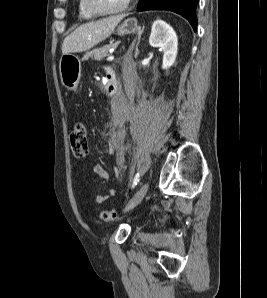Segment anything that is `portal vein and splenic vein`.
<instances>
[{
	"label": "portal vein and splenic vein",
	"mask_w": 267,
	"mask_h": 298,
	"mask_svg": "<svg viewBox=\"0 0 267 298\" xmlns=\"http://www.w3.org/2000/svg\"><path fill=\"white\" fill-rule=\"evenodd\" d=\"M114 59V56H108L107 60H113Z\"/></svg>",
	"instance_id": "18ae733b"
}]
</instances>
